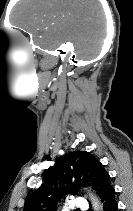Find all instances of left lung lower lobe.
<instances>
[{"instance_id":"left-lung-lower-lobe-1","label":"left lung lower lobe","mask_w":133,"mask_h":211,"mask_svg":"<svg viewBox=\"0 0 133 211\" xmlns=\"http://www.w3.org/2000/svg\"><path fill=\"white\" fill-rule=\"evenodd\" d=\"M104 211H117L118 204L115 199V190L110 186L101 196Z\"/></svg>"}]
</instances>
